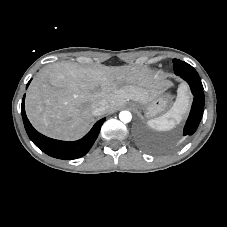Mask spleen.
<instances>
[{
  "label": "spleen",
  "mask_w": 227,
  "mask_h": 227,
  "mask_svg": "<svg viewBox=\"0 0 227 227\" xmlns=\"http://www.w3.org/2000/svg\"><path fill=\"white\" fill-rule=\"evenodd\" d=\"M186 108L187 98L185 93H181L178 95L175 103L168 112L158 118L150 119L148 125L158 131L170 130L182 120Z\"/></svg>",
  "instance_id": "3e777b00"
}]
</instances>
